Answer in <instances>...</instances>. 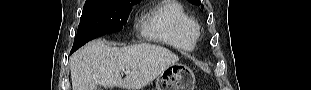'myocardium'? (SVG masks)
<instances>
[{
  "label": "myocardium",
  "instance_id": "myocardium-1",
  "mask_svg": "<svg viewBox=\"0 0 311 90\" xmlns=\"http://www.w3.org/2000/svg\"><path fill=\"white\" fill-rule=\"evenodd\" d=\"M196 38L199 36V29L197 27L196 33H195Z\"/></svg>",
  "mask_w": 311,
  "mask_h": 90
}]
</instances>
